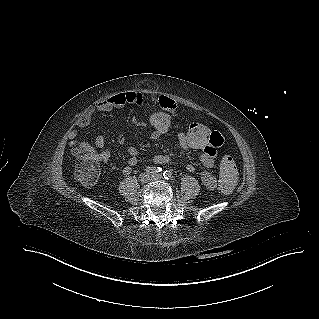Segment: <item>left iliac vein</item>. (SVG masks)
Here are the masks:
<instances>
[{"label":"left iliac vein","instance_id":"1","mask_svg":"<svg viewBox=\"0 0 319 319\" xmlns=\"http://www.w3.org/2000/svg\"><path fill=\"white\" fill-rule=\"evenodd\" d=\"M162 178V176L160 174H152L151 175V180H160Z\"/></svg>","mask_w":319,"mask_h":319}]
</instances>
